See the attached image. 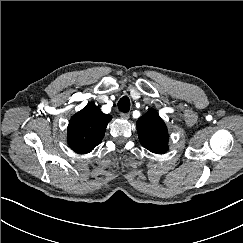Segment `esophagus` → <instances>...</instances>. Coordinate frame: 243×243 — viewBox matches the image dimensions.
<instances>
[{
    "mask_svg": "<svg viewBox=\"0 0 243 243\" xmlns=\"http://www.w3.org/2000/svg\"><path fill=\"white\" fill-rule=\"evenodd\" d=\"M120 116L123 118V119H128L129 118V113H121Z\"/></svg>",
    "mask_w": 243,
    "mask_h": 243,
    "instance_id": "esophagus-1",
    "label": "esophagus"
}]
</instances>
